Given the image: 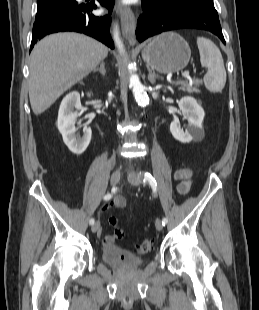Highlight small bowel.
<instances>
[{"mask_svg":"<svg viewBox=\"0 0 259 310\" xmlns=\"http://www.w3.org/2000/svg\"><path fill=\"white\" fill-rule=\"evenodd\" d=\"M192 172L185 167H178L174 172V179L177 181V192L179 195L184 196L188 193L192 180ZM126 204L125 198L122 196H116L110 203L115 208H123ZM106 207L101 208V212H105ZM98 237L103 240L104 245H113L114 237L106 236L103 234L102 228L98 229Z\"/></svg>","mask_w":259,"mask_h":310,"instance_id":"1","label":"small bowel"}]
</instances>
